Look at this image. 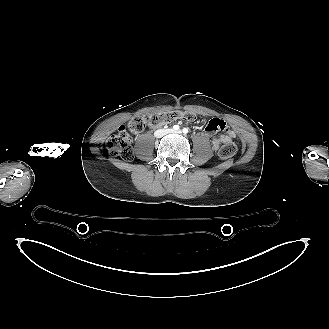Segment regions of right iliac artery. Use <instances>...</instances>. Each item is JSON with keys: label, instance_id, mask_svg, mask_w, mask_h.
Segmentation results:
<instances>
[{"label": "right iliac artery", "instance_id": "right-iliac-artery-1", "mask_svg": "<svg viewBox=\"0 0 329 329\" xmlns=\"http://www.w3.org/2000/svg\"><path fill=\"white\" fill-rule=\"evenodd\" d=\"M179 128H180L179 125H174V126H173V129H174V130H179Z\"/></svg>", "mask_w": 329, "mask_h": 329}]
</instances>
